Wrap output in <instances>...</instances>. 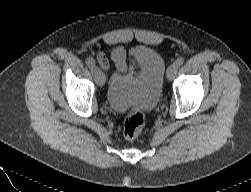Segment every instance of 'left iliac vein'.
Wrapping results in <instances>:
<instances>
[{
	"label": "left iliac vein",
	"mask_w": 251,
	"mask_h": 192,
	"mask_svg": "<svg viewBox=\"0 0 251 192\" xmlns=\"http://www.w3.org/2000/svg\"><path fill=\"white\" fill-rule=\"evenodd\" d=\"M177 70L178 66L175 63L171 64L167 69V78L172 80L175 77Z\"/></svg>",
	"instance_id": "4c4485c4"
}]
</instances>
